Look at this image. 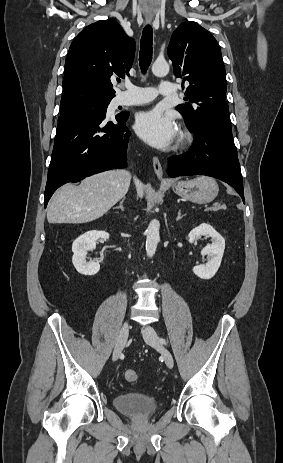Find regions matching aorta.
<instances>
[{"label": "aorta", "mask_w": 283, "mask_h": 463, "mask_svg": "<svg viewBox=\"0 0 283 463\" xmlns=\"http://www.w3.org/2000/svg\"><path fill=\"white\" fill-rule=\"evenodd\" d=\"M169 72V64L167 62L155 61L152 65V73L157 77L167 75ZM160 223L158 220H152L146 230V253L148 257H153L158 242L160 241L159 236Z\"/></svg>", "instance_id": "obj_1"}]
</instances>
